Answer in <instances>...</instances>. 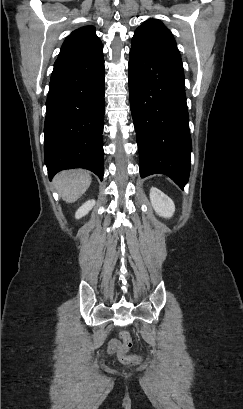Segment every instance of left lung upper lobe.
Listing matches in <instances>:
<instances>
[{
    "label": "left lung upper lobe",
    "mask_w": 243,
    "mask_h": 409,
    "mask_svg": "<svg viewBox=\"0 0 243 409\" xmlns=\"http://www.w3.org/2000/svg\"><path fill=\"white\" fill-rule=\"evenodd\" d=\"M162 45H176L171 31L157 20H147L136 29L131 49L150 50Z\"/></svg>",
    "instance_id": "obj_1"
}]
</instances>
